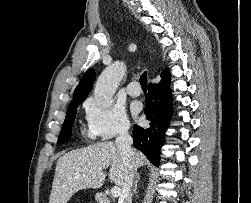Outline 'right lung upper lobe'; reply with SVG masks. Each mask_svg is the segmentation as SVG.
<instances>
[{
	"label": "right lung upper lobe",
	"instance_id": "1",
	"mask_svg": "<svg viewBox=\"0 0 251 203\" xmlns=\"http://www.w3.org/2000/svg\"><path fill=\"white\" fill-rule=\"evenodd\" d=\"M94 80H95L94 69H89L84 74L79 84L77 85L74 91L73 101L70 103V105L76 102H82L85 99V97L88 95V93L92 89V84Z\"/></svg>",
	"mask_w": 251,
	"mask_h": 203
}]
</instances>
